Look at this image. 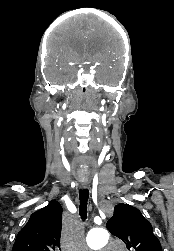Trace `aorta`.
<instances>
[{
    "label": "aorta",
    "instance_id": "aorta-1",
    "mask_svg": "<svg viewBox=\"0 0 174 251\" xmlns=\"http://www.w3.org/2000/svg\"><path fill=\"white\" fill-rule=\"evenodd\" d=\"M108 240V232L101 228L90 230L86 237L87 245L93 250H100L108 243Z\"/></svg>",
    "mask_w": 174,
    "mask_h": 251
}]
</instances>
